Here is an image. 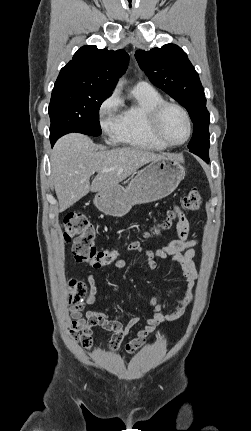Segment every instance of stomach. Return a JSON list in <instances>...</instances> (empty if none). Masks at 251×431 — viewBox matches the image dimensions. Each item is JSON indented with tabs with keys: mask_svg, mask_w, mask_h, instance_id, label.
<instances>
[{
	"mask_svg": "<svg viewBox=\"0 0 251 431\" xmlns=\"http://www.w3.org/2000/svg\"><path fill=\"white\" fill-rule=\"evenodd\" d=\"M185 177V168L173 156L152 161L124 188L115 185L100 191L94 198L95 206L113 217L126 215L132 206L160 200L170 195Z\"/></svg>",
	"mask_w": 251,
	"mask_h": 431,
	"instance_id": "1",
	"label": "stomach"
}]
</instances>
